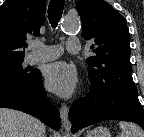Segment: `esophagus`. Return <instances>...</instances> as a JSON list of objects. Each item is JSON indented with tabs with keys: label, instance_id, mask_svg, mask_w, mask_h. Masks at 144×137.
I'll return each instance as SVG.
<instances>
[{
	"label": "esophagus",
	"instance_id": "1",
	"mask_svg": "<svg viewBox=\"0 0 144 137\" xmlns=\"http://www.w3.org/2000/svg\"><path fill=\"white\" fill-rule=\"evenodd\" d=\"M60 118L62 121V125L66 131H70L71 129V122L69 120V109L65 104L61 105L60 108Z\"/></svg>",
	"mask_w": 144,
	"mask_h": 137
}]
</instances>
